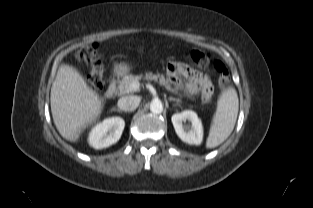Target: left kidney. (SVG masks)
Here are the masks:
<instances>
[{"label": "left kidney", "instance_id": "1", "mask_svg": "<svg viewBox=\"0 0 313 208\" xmlns=\"http://www.w3.org/2000/svg\"><path fill=\"white\" fill-rule=\"evenodd\" d=\"M186 120L191 122V127L184 126ZM171 121L178 137L188 144L200 145L203 140V126L197 114L191 110H185L172 116Z\"/></svg>", "mask_w": 313, "mask_h": 208}]
</instances>
